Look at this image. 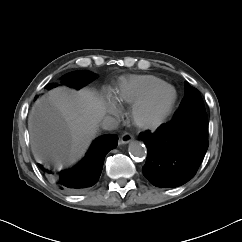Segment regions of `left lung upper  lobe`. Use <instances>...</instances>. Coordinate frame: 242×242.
Segmentation results:
<instances>
[{
  "instance_id": "5c2ea615",
  "label": "left lung upper lobe",
  "mask_w": 242,
  "mask_h": 242,
  "mask_svg": "<svg viewBox=\"0 0 242 242\" xmlns=\"http://www.w3.org/2000/svg\"><path fill=\"white\" fill-rule=\"evenodd\" d=\"M198 119H208L202 97L196 88L185 83V96L180 107L176 111L173 120L166 124L170 129H175Z\"/></svg>"
}]
</instances>
